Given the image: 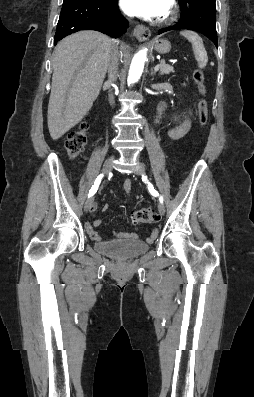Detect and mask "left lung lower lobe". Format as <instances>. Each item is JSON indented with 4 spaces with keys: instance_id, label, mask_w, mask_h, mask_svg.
Returning <instances> with one entry per match:
<instances>
[{
    "instance_id": "left-lung-lower-lobe-1",
    "label": "left lung lower lobe",
    "mask_w": 254,
    "mask_h": 397,
    "mask_svg": "<svg viewBox=\"0 0 254 397\" xmlns=\"http://www.w3.org/2000/svg\"><path fill=\"white\" fill-rule=\"evenodd\" d=\"M178 1L181 7L180 20L174 26L160 29L158 34L176 29L194 30L207 36L218 47L215 0Z\"/></svg>"
}]
</instances>
